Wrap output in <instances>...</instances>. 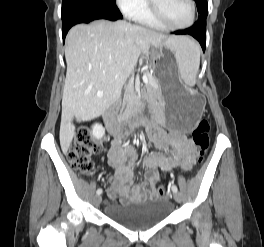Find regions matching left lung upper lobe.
Segmentation results:
<instances>
[{
  "instance_id": "1",
  "label": "left lung upper lobe",
  "mask_w": 264,
  "mask_h": 247,
  "mask_svg": "<svg viewBox=\"0 0 264 247\" xmlns=\"http://www.w3.org/2000/svg\"><path fill=\"white\" fill-rule=\"evenodd\" d=\"M197 9L199 11L198 19L206 20L208 14L207 0H195Z\"/></svg>"
}]
</instances>
